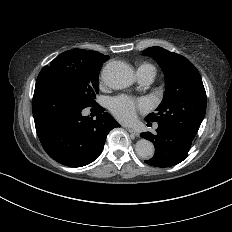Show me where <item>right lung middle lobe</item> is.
Masks as SVG:
<instances>
[{
    "label": "right lung middle lobe",
    "instance_id": "right-lung-middle-lobe-1",
    "mask_svg": "<svg viewBox=\"0 0 232 232\" xmlns=\"http://www.w3.org/2000/svg\"><path fill=\"white\" fill-rule=\"evenodd\" d=\"M102 65L99 61L58 56L41 70L37 82L57 85L84 107L97 106L95 98L99 92L98 76Z\"/></svg>",
    "mask_w": 232,
    "mask_h": 232
}]
</instances>
